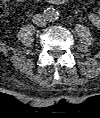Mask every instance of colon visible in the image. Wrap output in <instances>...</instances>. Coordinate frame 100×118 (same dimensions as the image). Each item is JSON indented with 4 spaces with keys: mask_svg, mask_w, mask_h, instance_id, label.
<instances>
[{
    "mask_svg": "<svg viewBox=\"0 0 100 118\" xmlns=\"http://www.w3.org/2000/svg\"><path fill=\"white\" fill-rule=\"evenodd\" d=\"M6 1L7 0H0V11L4 12L6 9Z\"/></svg>",
    "mask_w": 100,
    "mask_h": 118,
    "instance_id": "colon-1",
    "label": "colon"
}]
</instances>
